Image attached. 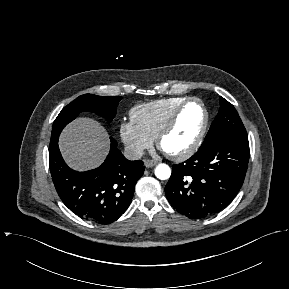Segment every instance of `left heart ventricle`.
Segmentation results:
<instances>
[{
    "instance_id": "1",
    "label": "left heart ventricle",
    "mask_w": 289,
    "mask_h": 289,
    "mask_svg": "<svg viewBox=\"0 0 289 289\" xmlns=\"http://www.w3.org/2000/svg\"><path fill=\"white\" fill-rule=\"evenodd\" d=\"M204 113L197 102L189 103L180 114L174 129L164 138L162 149L167 153L181 152L198 136Z\"/></svg>"
}]
</instances>
